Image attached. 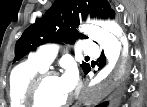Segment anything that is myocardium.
<instances>
[{
	"mask_svg": "<svg viewBox=\"0 0 147 107\" xmlns=\"http://www.w3.org/2000/svg\"><path fill=\"white\" fill-rule=\"evenodd\" d=\"M57 73L54 70L45 69L38 73L31 81L27 93H26V104L28 107H67L71 103V98L62 102L59 105L48 106L44 105L40 100V91L42 85L46 80L52 77H57Z\"/></svg>",
	"mask_w": 147,
	"mask_h": 107,
	"instance_id": "obj_1",
	"label": "myocardium"
}]
</instances>
